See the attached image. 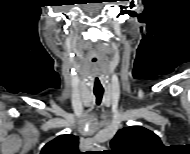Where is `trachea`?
Returning a JSON list of instances; mask_svg holds the SVG:
<instances>
[{"mask_svg":"<svg viewBox=\"0 0 190 154\" xmlns=\"http://www.w3.org/2000/svg\"><path fill=\"white\" fill-rule=\"evenodd\" d=\"M94 95L96 97V103L99 105L103 97V91L94 90Z\"/></svg>","mask_w":190,"mask_h":154,"instance_id":"trachea-1","label":"trachea"}]
</instances>
